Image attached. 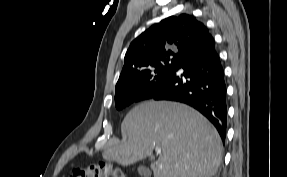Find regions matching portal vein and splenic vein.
<instances>
[{
	"mask_svg": "<svg viewBox=\"0 0 287 177\" xmlns=\"http://www.w3.org/2000/svg\"><path fill=\"white\" fill-rule=\"evenodd\" d=\"M155 151H156L157 154H161V149L160 148H156Z\"/></svg>",
	"mask_w": 287,
	"mask_h": 177,
	"instance_id": "obj_1",
	"label": "portal vein and splenic vein"
}]
</instances>
